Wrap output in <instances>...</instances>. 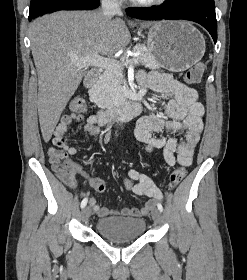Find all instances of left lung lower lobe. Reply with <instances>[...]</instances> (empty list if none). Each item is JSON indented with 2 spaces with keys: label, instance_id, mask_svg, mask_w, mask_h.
<instances>
[{
  "label": "left lung lower lobe",
  "instance_id": "left-lung-lower-lobe-1",
  "mask_svg": "<svg viewBox=\"0 0 247 280\" xmlns=\"http://www.w3.org/2000/svg\"><path fill=\"white\" fill-rule=\"evenodd\" d=\"M127 15L138 19H184L197 22L217 41V21L214 0H185L167 3L153 9H128Z\"/></svg>",
  "mask_w": 247,
  "mask_h": 280
}]
</instances>
